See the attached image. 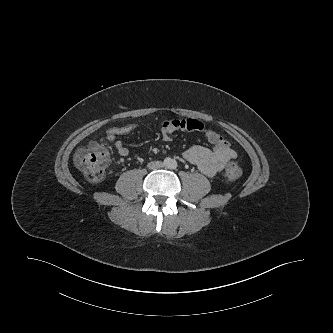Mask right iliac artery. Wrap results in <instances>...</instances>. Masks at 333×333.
<instances>
[{
    "mask_svg": "<svg viewBox=\"0 0 333 333\" xmlns=\"http://www.w3.org/2000/svg\"><path fill=\"white\" fill-rule=\"evenodd\" d=\"M168 162H169L168 159H165V160H164V163H165V164H168Z\"/></svg>",
    "mask_w": 333,
    "mask_h": 333,
    "instance_id": "1",
    "label": "right iliac artery"
}]
</instances>
